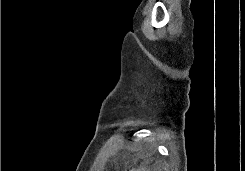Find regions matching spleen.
<instances>
[{"label":"spleen","instance_id":"spleen-1","mask_svg":"<svg viewBox=\"0 0 245 171\" xmlns=\"http://www.w3.org/2000/svg\"><path fill=\"white\" fill-rule=\"evenodd\" d=\"M130 171H149V170H147L145 167H140L138 169H132Z\"/></svg>","mask_w":245,"mask_h":171}]
</instances>
